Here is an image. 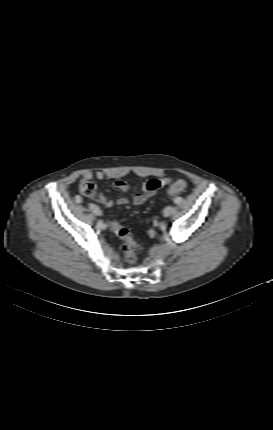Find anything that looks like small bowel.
<instances>
[{"instance_id": "obj_1", "label": "small bowel", "mask_w": 273, "mask_h": 430, "mask_svg": "<svg viewBox=\"0 0 273 430\" xmlns=\"http://www.w3.org/2000/svg\"><path fill=\"white\" fill-rule=\"evenodd\" d=\"M93 177L96 179H103L105 177V173L102 171H95V172L87 171L84 173L85 179H91ZM170 182H171V179L168 177H164L160 179L154 178V179L147 180L146 182L143 183L141 192H138L133 196L132 198L133 204L134 205L145 204L150 198H152L157 193V191L161 187L166 186ZM115 186L116 188L124 192L128 191L130 188L129 183L124 180L117 181ZM99 201L105 207H111L114 203L113 200L108 198L104 193L99 195ZM129 202L130 200L128 197H120L117 199V204L120 206L126 205Z\"/></svg>"}]
</instances>
